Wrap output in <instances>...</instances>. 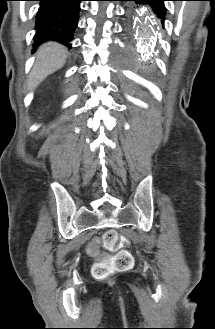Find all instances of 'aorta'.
Wrapping results in <instances>:
<instances>
[{
	"mask_svg": "<svg viewBox=\"0 0 215 329\" xmlns=\"http://www.w3.org/2000/svg\"><path fill=\"white\" fill-rule=\"evenodd\" d=\"M142 24L138 29L139 35L142 37V41L147 45H152L153 43V30H154V19L150 16L148 12H144L142 17Z\"/></svg>",
	"mask_w": 215,
	"mask_h": 329,
	"instance_id": "aorta-1",
	"label": "aorta"
}]
</instances>
